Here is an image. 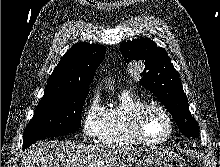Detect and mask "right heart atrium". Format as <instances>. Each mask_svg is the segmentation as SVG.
I'll use <instances>...</instances> for the list:
<instances>
[{"mask_svg":"<svg viewBox=\"0 0 220 167\" xmlns=\"http://www.w3.org/2000/svg\"><path fill=\"white\" fill-rule=\"evenodd\" d=\"M106 110L97 93L88 99L82 115V134L85 140H94L101 134Z\"/></svg>","mask_w":220,"mask_h":167,"instance_id":"1","label":"right heart atrium"}]
</instances>
